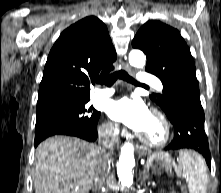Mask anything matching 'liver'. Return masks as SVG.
Instances as JSON below:
<instances>
[{
	"label": "liver",
	"mask_w": 221,
	"mask_h": 193,
	"mask_svg": "<svg viewBox=\"0 0 221 193\" xmlns=\"http://www.w3.org/2000/svg\"><path fill=\"white\" fill-rule=\"evenodd\" d=\"M98 158L94 144L72 137L48 138L37 147L35 193H88Z\"/></svg>",
	"instance_id": "liver-1"
}]
</instances>
